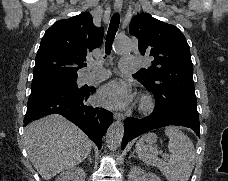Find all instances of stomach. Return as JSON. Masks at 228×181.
I'll use <instances>...</instances> for the list:
<instances>
[{
    "instance_id": "0dacf381",
    "label": "stomach",
    "mask_w": 228,
    "mask_h": 181,
    "mask_svg": "<svg viewBox=\"0 0 228 181\" xmlns=\"http://www.w3.org/2000/svg\"><path fill=\"white\" fill-rule=\"evenodd\" d=\"M156 141L157 137L154 133H148V135H145L144 137V143H146L147 147H152Z\"/></svg>"
}]
</instances>
